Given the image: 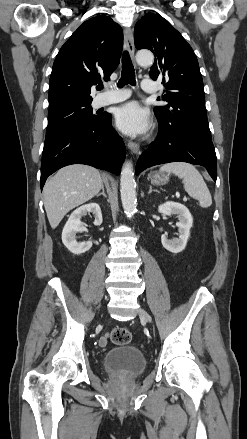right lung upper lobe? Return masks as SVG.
Instances as JSON below:
<instances>
[{"label":"right lung upper lobe","instance_id":"1","mask_svg":"<svg viewBox=\"0 0 247 439\" xmlns=\"http://www.w3.org/2000/svg\"><path fill=\"white\" fill-rule=\"evenodd\" d=\"M123 46L121 27L110 17L85 21L61 47L49 81V111L91 101V86L108 81Z\"/></svg>","mask_w":247,"mask_h":439}]
</instances>
